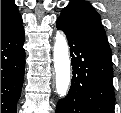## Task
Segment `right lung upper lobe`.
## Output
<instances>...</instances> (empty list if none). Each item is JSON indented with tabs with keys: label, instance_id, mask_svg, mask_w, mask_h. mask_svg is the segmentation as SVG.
Masks as SVG:
<instances>
[{
	"label": "right lung upper lobe",
	"instance_id": "right-lung-upper-lobe-1",
	"mask_svg": "<svg viewBox=\"0 0 121 113\" xmlns=\"http://www.w3.org/2000/svg\"><path fill=\"white\" fill-rule=\"evenodd\" d=\"M22 25V18L14 0H1V37Z\"/></svg>",
	"mask_w": 121,
	"mask_h": 113
}]
</instances>
